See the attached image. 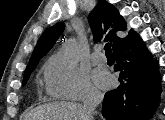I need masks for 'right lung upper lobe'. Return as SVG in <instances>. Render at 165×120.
<instances>
[{
	"instance_id": "right-lung-upper-lobe-1",
	"label": "right lung upper lobe",
	"mask_w": 165,
	"mask_h": 120,
	"mask_svg": "<svg viewBox=\"0 0 165 120\" xmlns=\"http://www.w3.org/2000/svg\"><path fill=\"white\" fill-rule=\"evenodd\" d=\"M88 22L93 32L94 40L100 41L102 38H105V41L112 43L113 51L138 35L132 30L126 35L127 24L125 20L119 14L116 7L106 0H99L97 6L90 13ZM64 28L65 24L59 22L41 35L27 68L33 63L38 62L52 48Z\"/></svg>"
}]
</instances>
